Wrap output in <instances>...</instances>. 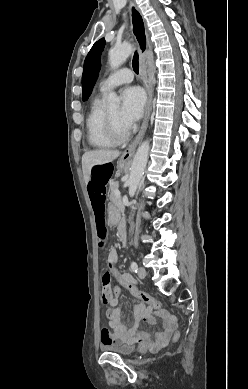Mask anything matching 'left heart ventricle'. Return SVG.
Segmentation results:
<instances>
[{
	"mask_svg": "<svg viewBox=\"0 0 248 389\" xmlns=\"http://www.w3.org/2000/svg\"><path fill=\"white\" fill-rule=\"evenodd\" d=\"M109 116L112 118V120L115 122L116 126L120 131H126V129L123 127V125L120 123L119 120V109H113L108 111Z\"/></svg>",
	"mask_w": 248,
	"mask_h": 389,
	"instance_id": "1",
	"label": "left heart ventricle"
}]
</instances>
